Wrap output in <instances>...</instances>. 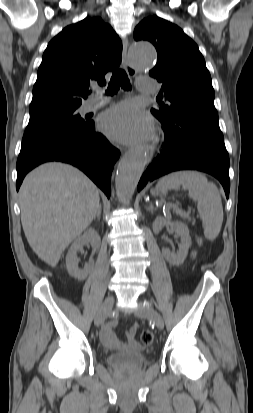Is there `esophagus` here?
I'll list each match as a JSON object with an SVG mask.
<instances>
[{
    "label": "esophagus",
    "instance_id": "esophagus-1",
    "mask_svg": "<svg viewBox=\"0 0 253 413\" xmlns=\"http://www.w3.org/2000/svg\"><path fill=\"white\" fill-rule=\"evenodd\" d=\"M127 49H128V40H123V51H122V59H123V66L130 77H135L137 72L135 68L129 63L127 57ZM147 155L146 158L148 161L152 159L153 156V149L150 146H146Z\"/></svg>",
    "mask_w": 253,
    "mask_h": 413
}]
</instances>
